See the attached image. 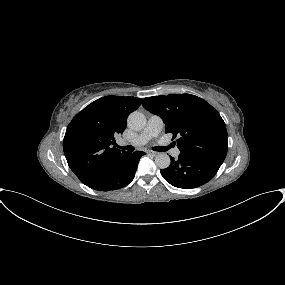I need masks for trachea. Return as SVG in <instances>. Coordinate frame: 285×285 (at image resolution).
I'll return each mask as SVG.
<instances>
[{"label": "trachea", "instance_id": "3493384b", "mask_svg": "<svg viewBox=\"0 0 285 285\" xmlns=\"http://www.w3.org/2000/svg\"><path fill=\"white\" fill-rule=\"evenodd\" d=\"M120 149H123V150H127V151H134V147L129 145V146H119ZM170 148V146L168 147H162V146H157V147H154L153 150L154 151H160V152H164L166 150H168Z\"/></svg>", "mask_w": 285, "mask_h": 285}]
</instances>
